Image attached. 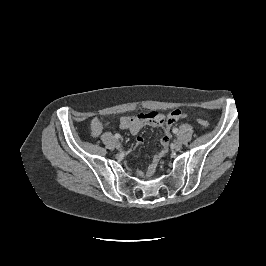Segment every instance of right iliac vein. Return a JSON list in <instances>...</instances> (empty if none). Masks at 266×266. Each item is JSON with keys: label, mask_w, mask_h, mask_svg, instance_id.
Segmentation results:
<instances>
[{"label": "right iliac vein", "mask_w": 266, "mask_h": 266, "mask_svg": "<svg viewBox=\"0 0 266 266\" xmlns=\"http://www.w3.org/2000/svg\"><path fill=\"white\" fill-rule=\"evenodd\" d=\"M115 146H116L117 149H120L122 147L121 143L119 141L115 142Z\"/></svg>", "instance_id": "right-iliac-vein-1"}]
</instances>
